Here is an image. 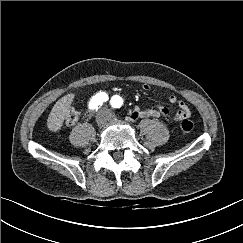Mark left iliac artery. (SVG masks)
<instances>
[{
	"instance_id": "1",
	"label": "left iliac artery",
	"mask_w": 243,
	"mask_h": 243,
	"mask_svg": "<svg viewBox=\"0 0 243 243\" xmlns=\"http://www.w3.org/2000/svg\"><path fill=\"white\" fill-rule=\"evenodd\" d=\"M110 103H111L112 107L120 108L122 106L123 102H122V99L120 96L115 95L112 97Z\"/></svg>"
}]
</instances>
